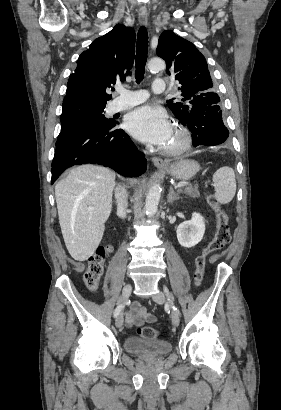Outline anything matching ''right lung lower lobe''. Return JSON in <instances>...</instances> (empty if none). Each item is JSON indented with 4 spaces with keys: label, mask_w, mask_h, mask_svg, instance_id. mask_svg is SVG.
Instances as JSON below:
<instances>
[{
    "label": "right lung lower lobe",
    "mask_w": 281,
    "mask_h": 410,
    "mask_svg": "<svg viewBox=\"0 0 281 410\" xmlns=\"http://www.w3.org/2000/svg\"><path fill=\"white\" fill-rule=\"evenodd\" d=\"M118 123L84 126L58 137L52 162L54 183L67 168L80 164L110 167L123 176L136 177L146 171V159Z\"/></svg>",
    "instance_id": "98d812e1"
}]
</instances>
